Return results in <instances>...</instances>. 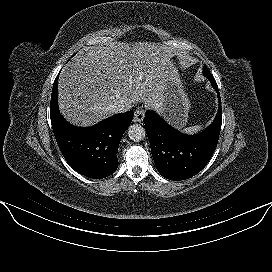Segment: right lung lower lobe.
I'll use <instances>...</instances> for the list:
<instances>
[{"label":"right lung lower lobe","instance_id":"right-lung-lower-lobe-1","mask_svg":"<svg viewBox=\"0 0 272 272\" xmlns=\"http://www.w3.org/2000/svg\"><path fill=\"white\" fill-rule=\"evenodd\" d=\"M58 77L54 81L50 118L58 146L69 165L94 179L111 175L118 167L117 151L134 112L116 114L90 128L69 124L58 110Z\"/></svg>","mask_w":272,"mask_h":272}]
</instances>
